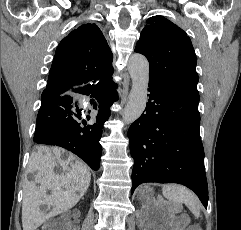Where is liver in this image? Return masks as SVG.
Listing matches in <instances>:
<instances>
[{"mask_svg": "<svg viewBox=\"0 0 241 230\" xmlns=\"http://www.w3.org/2000/svg\"><path fill=\"white\" fill-rule=\"evenodd\" d=\"M64 153L60 148L46 146H39L31 153L27 172L36 175L24 185L23 230H35L49 217L71 209L86 193L91 181L89 168L72 154L63 158ZM56 166L63 173L56 174ZM47 190L50 195L46 194ZM42 204L53 208L46 213L40 209Z\"/></svg>", "mask_w": 241, "mask_h": 230, "instance_id": "obj_1", "label": "liver"}]
</instances>
